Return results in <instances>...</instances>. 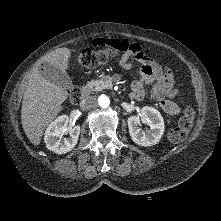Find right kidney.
<instances>
[{
  "instance_id": "1",
  "label": "right kidney",
  "mask_w": 221,
  "mask_h": 221,
  "mask_svg": "<svg viewBox=\"0 0 221 221\" xmlns=\"http://www.w3.org/2000/svg\"><path fill=\"white\" fill-rule=\"evenodd\" d=\"M68 122V116L61 115L49 124L44 136L47 149L56 154H65L75 147L80 134V126H68ZM67 133L70 137L61 140V137Z\"/></svg>"
}]
</instances>
